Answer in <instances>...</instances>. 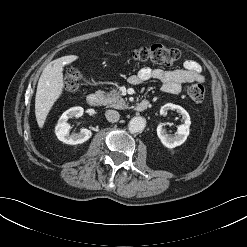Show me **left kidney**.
<instances>
[{"label":"left kidney","instance_id":"left-kidney-1","mask_svg":"<svg viewBox=\"0 0 247 247\" xmlns=\"http://www.w3.org/2000/svg\"><path fill=\"white\" fill-rule=\"evenodd\" d=\"M168 110H176L178 113L182 115V119L184 122L183 124L178 126L175 135H169L167 131L163 128V125L159 124L157 127V135L161 143L165 147L175 148L177 146L182 145L186 141L189 135V128L191 125V121L188 112L179 105L167 103L161 107L160 114L166 115Z\"/></svg>","mask_w":247,"mask_h":247}]
</instances>
